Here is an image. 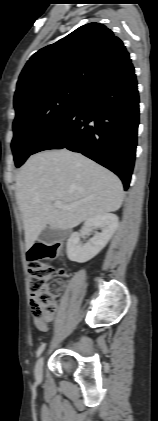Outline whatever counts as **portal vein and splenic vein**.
<instances>
[{"instance_id":"18ae733b","label":"portal vein and splenic vein","mask_w":158,"mask_h":421,"mask_svg":"<svg viewBox=\"0 0 158 421\" xmlns=\"http://www.w3.org/2000/svg\"><path fill=\"white\" fill-rule=\"evenodd\" d=\"M54 206L56 208H60V209L65 208L60 201H55L54 202Z\"/></svg>"}]
</instances>
